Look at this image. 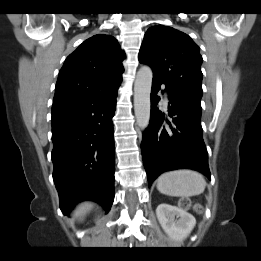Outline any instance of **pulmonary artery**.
Wrapping results in <instances>:
<instances>
[{
    "mask_svg": "<svg viewBox=\"0 0 261 261\" xmlns=\"http://www.w3.org/2000/svg\"><path fill=\"white\" fill-rule=\"evenodd\" d=\"M164 98H165V100H167V94L166 93L164 94Z\"/></svg>",
    "mask_w": 261,
    "mask_h": 261,
    "instance_id": "e3ab8cb5",
    "label": "pulmonary artery"
}]
</instances>
